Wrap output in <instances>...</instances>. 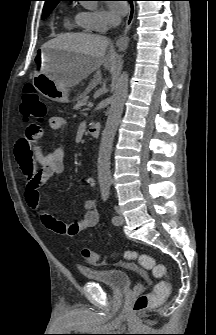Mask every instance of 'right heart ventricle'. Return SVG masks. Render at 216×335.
<instances>
[{
	"label": "right heart ventricle",
	"mask_w": 216,
	"mask_h": 335,
	"mask_svg": "<svg viewBox=\"0 0 216 335\" xmlns=\"http://www.w3.org/2000/svg\"><path fill=\"white\" fill-rule=\"evenodd\" d=\"M64 26L68 30L80 29L89 30L86 22L84 21L81 12L76 13L73 17L67 16L64 19Z\"/></svg>",
	"instance_id": "e07e8e85"
}]
</instances>
